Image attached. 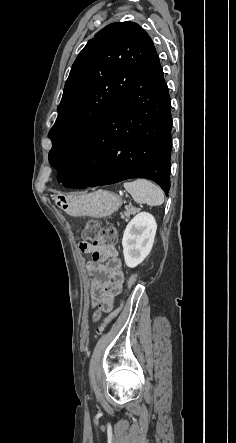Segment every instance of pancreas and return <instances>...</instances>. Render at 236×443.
I'll return each instance as SVG.
<instances>
[{
	"label": "pancreas",
	"mask_w": 236,
	"mask_h": 443,
	"mask_svg": "<svg viewBox=\"0 0 236 443\" xmlns=\"http://www.w3.org/2000/svg\"><path fill=\"white\" fill-rule=\"evenodd\" d=\"M139 208H135V207H126V211H124L123 214H121V218L124 219L126 221H128V219L130 218L131 215H135L137 212H139Z\"/></svg>",
	"instance_id": "cf45deb5"
}]
</instances>
